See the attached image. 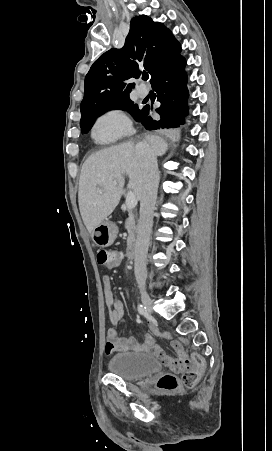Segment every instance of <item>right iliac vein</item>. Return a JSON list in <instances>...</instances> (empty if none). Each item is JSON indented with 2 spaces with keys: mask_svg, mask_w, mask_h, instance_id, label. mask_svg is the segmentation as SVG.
Segmentation results:
<instances>
[{
  "mask_svg": "<svg viewBox=\"0 0 272 451\" xmlns=\"http://www.w3.org/2000/svg\"><path fill=\"white\" fill-rule=\"evenodd\" d=\"M141 299L147 311L152 313L153 303L146 290L141 291Z\"/></svg>",
  "mask_w": 272,
  "mask_h": 451,
  "instance_id": "1",
  "label": "right iliac vein"
}]
</instances>
